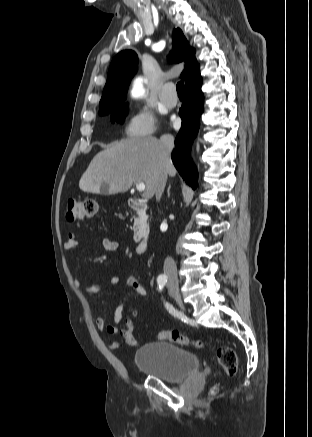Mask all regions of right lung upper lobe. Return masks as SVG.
Masks as SVG:
<instances>
[{
  "mask_svg": "<svg viewBox=\"0 0 312 437\" xmlns=\"http://www.w3.org/2000/svg\"><path fill=\"white\" fill-rule=\"evenodd\" d=\"M194 55L195 50L189 48L182 31L175 29L173 32V51L170 53L169 60L175 63L185 61L186 67L181 74V77L186 81L185 85L200 76L199 66ZM137 64L138 56L132 50H124L113 58L99 104L100 115L108 114L124 105L129 82L137 71Z\"/></svg>",
  "mask_w": 312,
  "mask_h": 437,
  "instance_id": "1",
  "label": "right lung upper lobe"
}]
</instances>
